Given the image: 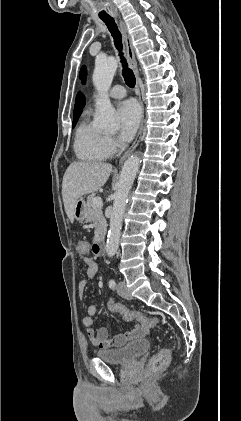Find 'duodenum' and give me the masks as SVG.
I'll return each instance as SVG.
<instances>
[{
    "label": "duodenum",
    "instance_id": "duodenum-1",
    "mask_svg": "<svg viewBox=\"0 0 241 421\" xmlns=\"http://www.w3.org/2000/svg\"><path fill=\"white\" fill-rule=\"evenodd\" d=\"M106 244L104 238H98L95 243L93 244V252L97 256H101L105 253Z\"/></svg>",
    "mask_w": 241,
    "mask_h": 421
}]
</instances>
